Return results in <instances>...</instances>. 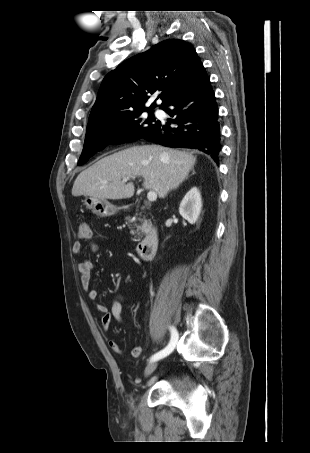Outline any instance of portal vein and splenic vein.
I'll list each match as a JSON object with an SVG mask.
<instances>
[{"instance_id":"18ae733b","label":"portal vein and splenic vein","mask_w":310,"mask_h":453,"mask_svg":"<svg viewBox=\"0 0 310 453\" xmlns=\"http://www.w3.org/2000/svg\"><path fill=\"white\" fill-rule=\"evenodd\" d=\"M128 180H129V178H124V179H123V182H127ZM105 183H107V182H105ZM147 198H148V201H149V202H154V201H156V199H157V194H156V192H154V191L148 192Z\"/></svg>"}]
</instances>
